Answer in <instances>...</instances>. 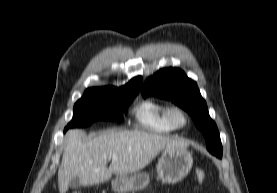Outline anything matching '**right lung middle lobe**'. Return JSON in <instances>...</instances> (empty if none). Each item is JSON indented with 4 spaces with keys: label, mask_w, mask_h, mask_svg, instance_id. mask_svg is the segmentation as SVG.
<instances>
[{
    "label": "right lung middle lobe",
    "mask_w": 277,
    "mask_h": 193,
    "mask_svg": "<svg viewBox=\"0 0 277 193\" xmlns=\"http://www.w3.org/2000/svg\"><path fill=\"white\" fill-rule=\"evenodd\" d=\"M137 93L110 94L85 91L74 105V115L64 129L87 127L97 120H115L129 106Z\"/></svg>",
    "instance_id": "obj_1"
}]
</instances>
